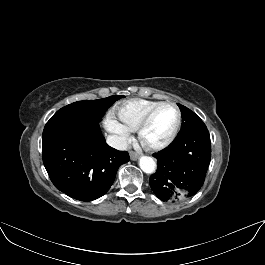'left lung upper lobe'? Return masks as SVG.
<instances>
[{"instance_id": "1", "label": "left lung upper lobe", "mask_w": 265, "mask_h": 265, "mask_svg": "<svg viewBox=\"0 0 265 265\" xmlns=\"http://www.w3.org/2000/svg\"><path fill=\"white\" fill-rule=\"evenodd\" d=\"M178 106L182 115V126L178 135L186 133L198 126L204 125V122L193 111L181 104H178Z\"/></svg>"}]
</instances>
